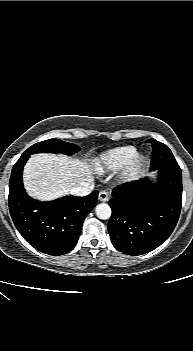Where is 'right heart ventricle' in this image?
<instances>
[{
	"label": "right heart ventricle",
	"instance_id": "right-heart-ventricle-1",
	"mask_svg": "<svg viewBox=\"0 0 193 351\" xmlns=\"http://www.w3.org/2000/svg\"><path fill=\"white\" fill-rule=\"evenodd\" d=\"M133 149L129 147L117 148L104 154L98 163V168L102 167H117L131 159Z\"/></svg>",
	"mask_w": 193,
	"mask_h": 351
}]
</instances>
